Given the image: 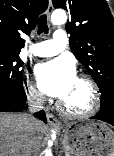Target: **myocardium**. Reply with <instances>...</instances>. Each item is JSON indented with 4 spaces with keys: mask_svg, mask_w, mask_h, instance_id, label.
<instances>
[{
    "mask_svg": "<svg viewBox=\"0 0 114 156\" xmlns=\"http://www.w3.org/2000/svg\"><path fill=\"white\" fill-rule=\"evenodd\" d=\"M77 78L85 82L90 88L92 101L90 107L87 110L81 112H74V111H70L60 100L58 102V110L64 116L72 119H81V118H87L92 116L99 110L101 104L100 92L96 82L86 74H80Z\"/></svg>",
    "mask_w": 114,
    "mask_h": 156,
    "instance_id": "myocardium-1",
    "label": "myocardium"
}]
</instances>
